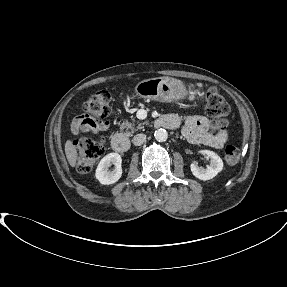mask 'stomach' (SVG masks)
Here are the masks:
<instances>
[{"mask_svg": "<svg viewBox=\"0 0 287 287\" xmlns=\"http://www.w3.org/2000/svg\"><path fill=\"white\" fill-rule=\"evenodd\" d=\"M135 93L143 99L166 103L184 99L188 94L181 82L168 77L143 80L136 85Z\"/></svg>", "mask_w": 287, "mask_h": 287, "instance_id": "0dacf381", "label": "stomach"}]
</instances>
